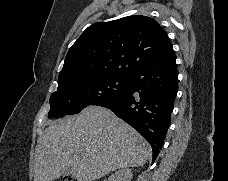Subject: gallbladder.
<instances>
[{"label":"gallbladder","instance_id":"gallbladder-1","mask_svg":"<svg viewBox=\"0 0 228 181\" xmlns=\"http://www.w3.org/2000/svg\"><path fill=\"white\" fill-rule=\"evenodd\" d=\"M71 171H72V167H70V169H68V171H64L65 175H71Z\"/></svg>","mask_w":228,"mask_h":181}]
</instances>
